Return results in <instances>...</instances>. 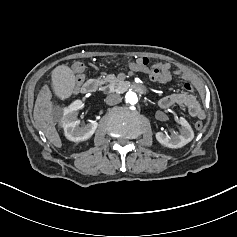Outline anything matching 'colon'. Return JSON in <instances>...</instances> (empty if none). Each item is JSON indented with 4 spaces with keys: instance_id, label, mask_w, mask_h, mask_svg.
Returning <instances> with one entry per match:
<instances>
[{
    "instance_id": "obj_1",
    "label": "colon",
    "mask_w": 237,
    "mask_h": 237,
    "mask_svg": "<svg viewBox=\"0 0 237 237\" xmlns=\"http://www.w3.org/2000/svg\"><path fill=\"white\" fill-rule=\"evenodd\" d=\"M138 65L144 69L145 74L151 81L154 82H164V78L161 74L160 68L157 65H151L150 60L148 58H140L138 61ZM73 72L80 76L85 71V64L81 61H76L72 65ZM204 127V123L202 121H197L195 123V128L197 130H202Z\"/></svg>"
}]
</instances>
